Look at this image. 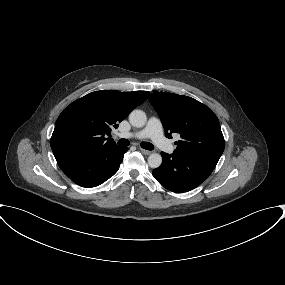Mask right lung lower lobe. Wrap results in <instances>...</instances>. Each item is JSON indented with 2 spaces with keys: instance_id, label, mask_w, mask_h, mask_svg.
<instances>
[{
  "instance_id": "98d812e1",
  "label": "right lung lower lobe",
  "mask_w": 285,
  "mask_h": 285,
  "mask_svg": "<svg viewBox=\"0 0 285 285\" xmlns=\"http://www.w3.org/2000/svg\"><path fill=\"white\" fill-rule=\"evenodd\" d=\"M127 150L119 146L97 151L64 149L53 153L61 170L73 182L90 188L102 184L118 171Z\"/></svg>"
}]
</instances>
